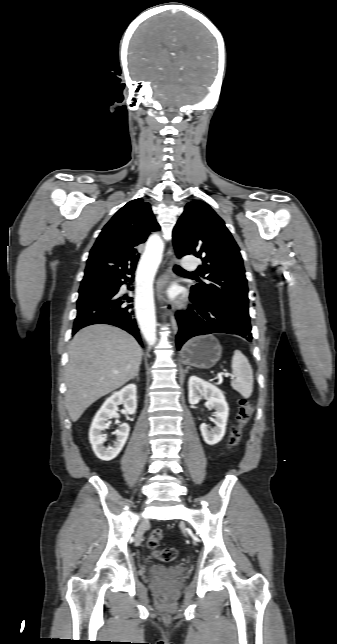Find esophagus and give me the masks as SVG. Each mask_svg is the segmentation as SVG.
Here are the masks:
<instances>
[{"label": "esophagus", "mask_w": 337, "mask_h": 644, "mask_svg": "<svg viewBox=\"0 0 337 644\" xmlns=\"http://www.w3.org/2000/svg\"><path fill=\"white\" fill-rule=\"evenodd\" d=\"M174 262H175V257H172L170 259L169 266H168L166 272L163 275H161L159 277L158 281H157V285H156L157 298H158L159 302L162 305L164 304V298H163L164 287H165L166 283L171 278L172 266H173ZM163 308H167V306H164ZM170 313H171V316H170L171 324H172L174 332L176 333L177 330H178V324H177V321H176V319L173 316L171 311H170Z\"/></svg>", "instance_id": "34e87169"}]
</instances>
